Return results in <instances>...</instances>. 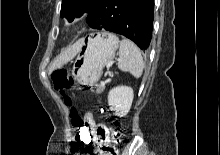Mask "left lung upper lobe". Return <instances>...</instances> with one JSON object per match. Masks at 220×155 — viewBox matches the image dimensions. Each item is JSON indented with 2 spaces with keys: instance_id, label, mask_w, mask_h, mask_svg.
Instances as JSON below:
<instances>
[{
  "instance_id": "obj_1",
  "label": "left lung upper lobe",
  "mask_w": 220,
  "mask_h": 155,
  "mask_svg": "<svg viewBox=\"0 0 220 155\" xmlns=\"http://www.w3.org/2000/svg\"><path fill=\"white\" fill-rule=\"evenodd\" d=\"M99 0H62L61 17L69 22L79 18L83 13H88Z\"/></svg>"
}]
</instances>
